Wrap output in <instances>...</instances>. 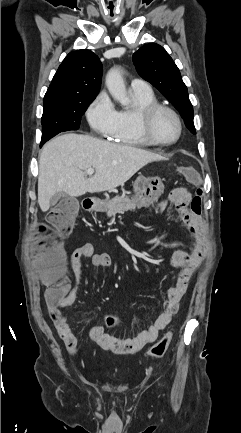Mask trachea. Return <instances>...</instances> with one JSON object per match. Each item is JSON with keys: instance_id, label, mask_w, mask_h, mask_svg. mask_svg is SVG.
<instances>
[{"instance_id": "3493384b", "label": "trachea", "mask_w": 241, "mask_h": 433, "mask_svg": "<svg viewBox=\"0 0 241 433\" xmlns=\"http://www.w3.org/2000/svg\"><path fill=\"white\" fill-rule=\"evenodd\" d=\"M111 8H114V5H111Z\"/></svg>"}]
</instances>
